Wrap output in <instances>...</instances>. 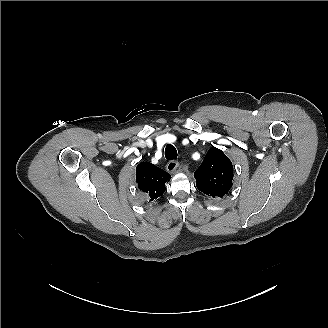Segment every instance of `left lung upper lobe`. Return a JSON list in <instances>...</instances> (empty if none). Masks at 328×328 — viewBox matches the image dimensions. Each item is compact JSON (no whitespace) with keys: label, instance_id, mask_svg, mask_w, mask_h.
Listing matches in <instances>:
<instances>
[{"label":"left lung upper lobe","instance_id":"1","mask_svg":"<svg viewBox=\"0 0 328 328\" xmlns=\"http://www.w3.org/2000/svg\"><path fill=\"white\" fill-rule=\"evenodd\" d=\"M194 176L201 192L213 198H222L232 187L233 166L223 151L213 147Z\"/></svg>","mask_w":328,"mask_h":328}]
</instances>
